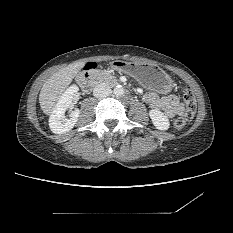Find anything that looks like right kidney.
<instances>
[{"label":"right kidney","mask_w":233,"mask_h":233,"mask_svg":"<svg viewBox=\"0 0 233 233\" xmlns=\"http://www.w3.org/2000/svg\"><path fill=\"white\" fill-rule=\"evenodd\" d=\"M77 91L78 87L76 85L69 87L57 102L49 118V126L53 133L62 134L68 132L78 121L80 110L77 108L71 112L69 118H65V112L73 106V96Z\"/></svg>","instance_id":"ca27d5eb"}]
</instances>
